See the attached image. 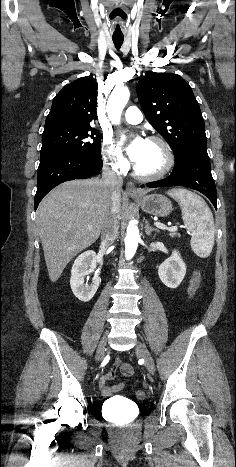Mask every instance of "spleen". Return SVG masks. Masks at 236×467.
Masks as SVG:
<instances>
[{"mask_svg":"<svg viewBox=\"0 0 236 467\" xmlns=\"http://www.w3.org/2000/svg\"><path fill=\"white\" fill-rule=\"evenodd\" d=\"M182 210L186 228L191 232V247L199 257H208L214 245L215 226L211 210L197 194L184 189H172L167 193Z\"/></svg>","mask_w":236,"mask_h":467,"instance_id":"1","label":"spleen"}]
</instances>
